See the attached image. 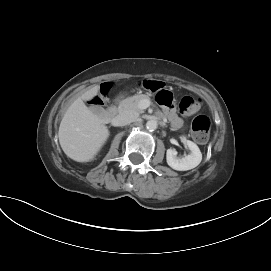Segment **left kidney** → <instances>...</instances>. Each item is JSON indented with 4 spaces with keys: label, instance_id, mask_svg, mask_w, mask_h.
I'll list each match as a JSON object with an SVG mask.
<instances>
[{
    "label": "left kidney",
    "instance_id": "left-kidney-1",
    "mask_svg": "<svg viewBox=\"0 0 271 271\" xmlns=\"http://www.w3.org/2000/svg\"><path fill=\"white\" fill-rule=\"evenodd\" d=\"M181 141L188 146L191 151L190 154L178 158L177 151L175 149H168L166 152L167 164L177 171H187L198 166L202 160V153L199 147L192 141L187 140L185 137L181 138Z\"/></svg>",
    "mask_w": 271,
    "mask_h": 271
}]
</instances>
